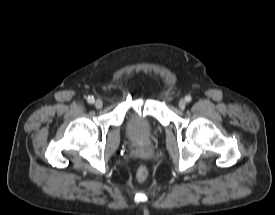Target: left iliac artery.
<instances>
[{
  "mask_svg": "<svg viewBox=\"0 0 275 215\" xmlns=\"http://www.w3.org/2000/svg\"><path fill=\"white\" fill-rule=\"evenodd\" d=\"M191 100H192V98H191L190 95H187V96L185 97V101H186V102H190Z\"/></svg>",
  "mask_w": 275,
  "mask_h": 215,
  "instance_id": "obj_1",
  "label": "left iliac artery"
}]
</instances>
